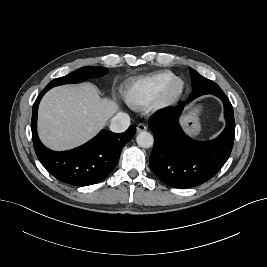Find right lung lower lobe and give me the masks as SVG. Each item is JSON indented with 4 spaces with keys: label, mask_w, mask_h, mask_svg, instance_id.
<instances>
[{
    "label": "right lung lower lobe",
    "mask_w": 267,
    "mask_h": 267,
    "mask_svg": "<svg viewBox=\"0 0 267 267\" xmlns=\"http://www.w3.org/2000/svg\"><path fill=\"white\" fill-rule=\"evenodd\" d=\"M47 87L33 105L32 139L39 161L56 179L74 186H88L104 180L118 163L123 146L135 135L130 126L126 132L116 134L102 130L92 140L75 149L56 152L46 148L37 134V110Z\"/></svg>",
    "instance_id": "obj_1"
}]
</instances>
